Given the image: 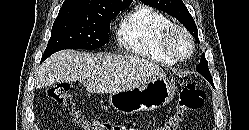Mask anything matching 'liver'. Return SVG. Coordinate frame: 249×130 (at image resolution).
I'll list each match as a JSON object with an SVG mask.
<instances>
[{
	"mask_svg": "<svg viewBox=\"0 0 249 130\" xmlns=\"http://www.w3.org/2000/svg\"><path fill=\"white\" fill-rule=\"evenodd\" d=\"M166 78L155 63L137 56L82 54L63 50L45 60L35 77L37 88L79 81L90 93H117Z\"/></svg>",
	"mask_w": 249,
	"mask_h": 130,
	"instance_id": "6515ba94",
	"label": "liver"
}]
</instances>
